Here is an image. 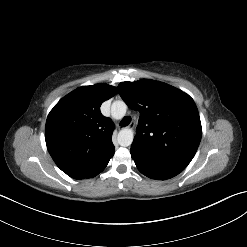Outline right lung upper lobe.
<instances>
[{"label":"right lung upper lobe","mask_w":247,"mask_h":247,"mask_svg":"<svg viewBox=\"0 0 247 247\" xmlns=\"http://www.w3.org/2000/svg\"><path fill=\"white\" fill-rule=\"evenodd\" d=\"M115 93L116 88L108 84L82 86L49 113L46 145L56 165L70 177H86L114 154V124L101 114L100 106Z\"/></svg>","instance_id":"right-lung-upper-lobe-1"}]
</instances>
